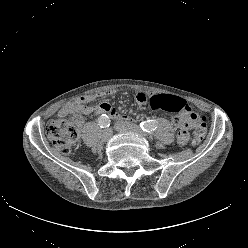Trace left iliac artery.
I'll use <instances>...</instances> for the list:
<instances>
[{
	"instance_id": "1",
	"label": "left iliac artery",
	"mask_w": 248,
	"mask_h": 248,
	"mask_svg": "<svg viewBox=\"0 0 248 248\" xmlns=\"http://www.w3.org/2000/svg\"><path fill=\"white\" fill-rule=\"evenodd\" d=\"M140 127L142 128L143 131L152 133L156 130L157 124L154 120H147V121L141 122Z\"/></svg>"
}]
</instances>
